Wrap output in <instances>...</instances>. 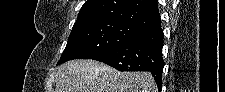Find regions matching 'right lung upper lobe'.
Listing matches in <instances>:
<instances>
[{"label":"right lung upper lobe","mask_w":225,"mask_h":92,"mask_svg":"<svg viewBox=\"0 0 225 92\" xmlns=\"http://www.w3.org/2000/svg\"><path fill=\"white\" fill-rule=\"evenodd\" d=\"M119 22L142 32L161 26L156 0H87L73 27Z\"/></svg>","instance_id":"1"}]
</instances>
